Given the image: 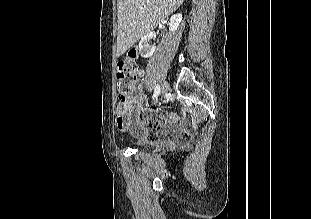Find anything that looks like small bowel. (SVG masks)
<instances>
[{"label": "small bowel", "instance_id": "1", "mask_svg": "<svg viewBox=\"0 0 311 219\" xmlns=\"http://www.w3.org/2000/svg\"><path fill=\"white\" fill-rule=\"evenodd\" d=\"M142 72H139V76ZM146 105L143 85L136 80L131 92L130 100L127 103H119L116 108V125L120 131L131 132L139 140L150 139L151 136L160 138L167 135L168 140L176 142L178 136L172 132H161L163 123L178 125L179 119L170 115L165 119L158 110H153L149 115H143V108ZM150 127H155L153 130Z\"/></svg>", "mask_w": 311, "mask_h": 219}]
</instances>
